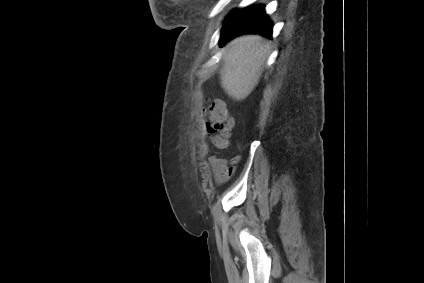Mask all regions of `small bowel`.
<instances>
[{
    "mask_svg": "<svg viewBox=\"0 0 424 283\" xmlns=\"http://www.w3.org/2000/svg\"><path fill=\"white\" fill-rule=\"evenodd\" d=\"M239 157L235 156L231 160L226 158H212L211 160V168L213 172L214 179L218 183H224L229 180L236 171L235 166H231V163H237L239 161Z\"/></svg>",
    "mask_w": 424,
    "mask_h": 283,
    "instance_id": "small-bowel-1",
    "label": "small bowel"
}]
</instances>
